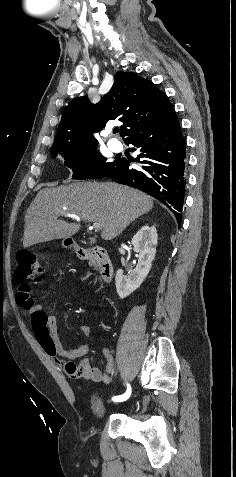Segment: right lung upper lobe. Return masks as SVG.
<instances>
[{
	"label": "right lung upper lobe",
	"instance_id": "cb5924a9",
	"mask_svg": "<svg viewBox=\"0 0 236 477\" xmlns=\"http://www.w3.org/2000/svg\"><path fill=\"white\" fill-rule=\"evenodd\" d=\"M174 110L167 96L135 73L118 72L111 90L95 105L86 97L73 99L64 109L52 152H71L98 141V132L109 120L118 118L124 141L135 133L156 127Z\"/></svg>",
	"mask_w": 236,
	"mask_h": 477
}]
</instances>
